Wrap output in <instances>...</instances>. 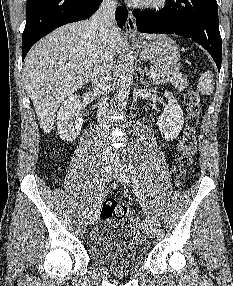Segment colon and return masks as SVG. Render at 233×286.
<instances>
[{
    "mask_svg": "<svg viewBox=\"0 0 233 286\" xmlns=\"http://www.w3.org/2000/svg\"><path fill=\"white\" fill-rule=\"evenodd\" d=\"M185 104L187 109L186 125L179 142V166L176 170V178L181 183L187 175L188 169L193 164V156L196 150V135L200 122L201 105L199 96L192 89H188L185 94ZM100 216L102 219L117 218L127 221L133 228L139 229L143 226L140 217L132 215L125 206H119L115 200L106 199L101 207Z\"/></svg>",
    "mask_w": 233,
    "mask_h": 286,
    "instance_id": "1",
    "label": "colon"
}]
</instances>
